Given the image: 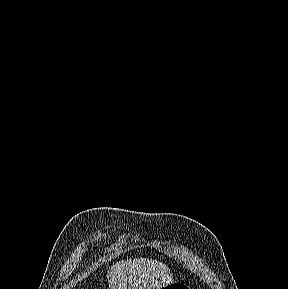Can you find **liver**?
Here are the masks:
<instances>
[{
	"instance_id": "liver-1",
	"label": "liver",
	"mask_w": 288,
	"mask_h": 289,
	"mask_svg": "<svg viewBox=\"0 0 288 289\" xmlns=\"http://www.w3.org/2000/svg\"><path fill=\"white\" fill-rule=\"evenodd\" d=\"M107 277L111 289H161L174 282L168 266L144 258L117 262Z\"/></svg>"
}]
</instances>
